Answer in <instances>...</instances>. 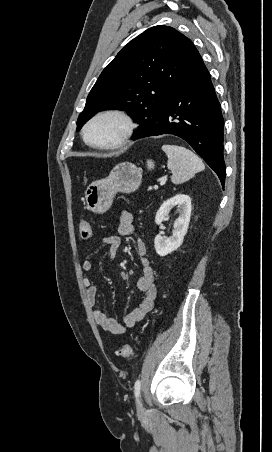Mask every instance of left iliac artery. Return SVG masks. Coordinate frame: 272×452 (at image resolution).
Masks as SVG:
<instances>
[{"label":"left iliac artery","instance_id":"1","mask_svg":"<svg viewBox=\"0 0 272 452\" xmlns=\"http://www.w3.org/2000/svg\"><path fill=\"white\" fill-rule=\"evenodd\" d=\"M140 389H141V382L139 379L136 380L135 384H134V393H135V397L138 400L139 395H140Z\"/></svg>","mask_w":272,"mask_h":452}]
</instances>
